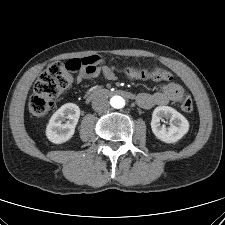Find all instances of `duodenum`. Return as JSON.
Listing matches in <instances>:
<instances>
[{"instance_id": "duodenum-1", "label": "duodenum", "mask_w": 225, "mask_h": 225, "mask_svg": "<svg viewBox=\"0 0 225 225\" xmlns=\"http://www.w3.org/2000/svg\"><path fill=\"white\" fill-rule=\"evenodd\" d=\"M122 95L124 97L127 98H133L134 95H132L131 93L125 91V90H107V89H99L94 91L88 98V101H92L94 99H98L101 97H105V96H111V95Z\"/></svg>"}]
</instances>
